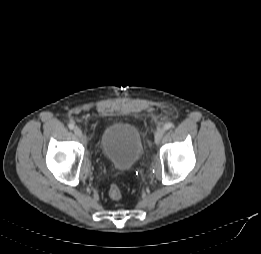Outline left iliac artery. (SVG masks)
<instances>
[{"instance_id":"obj_1","label":"left iliac artery","mask_w":261,"mask_h":254,"mask_svg":"<svg viewBox=\"0 0 261 254\" xmlns=\"http://www.w3.org/2000/svg\"><path fill=\"white\" fill-rule=\"evenodd\" d=\"M173 126H174L173 123L168 122V123H166V124L164 125V129H165V130H168V129H171Z\"/></svg>"}]
</instances>
